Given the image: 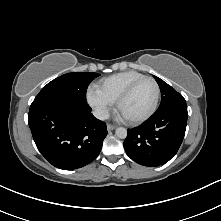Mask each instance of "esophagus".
<instances>
[{
	"label": "esophagus",
	"mask_w": 221,
	"mask_h": 221,
	"mask_svg": "<svg viewBox=\"0 0 221 221\" xmlns=\"http://www.w3.org/2000/svg\"><path fill=\"white\" fill-rule=\"evenodd\" d=\"M115 129V126L114 125H112V124H107V130L108 131H112V130H114Z\"/></svg>",
	"instance_id": "1"
}]
</instances>
